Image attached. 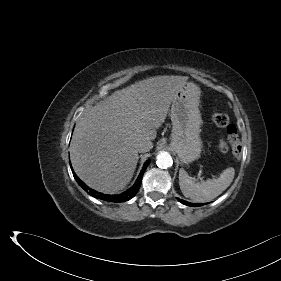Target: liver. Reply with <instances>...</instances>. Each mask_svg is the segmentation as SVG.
I'll return each mask as SVG.
<instances>
[{"instance_id": "liver-1", "label": "liver", "mask_w": 281, "mask_h": 281, "mask_svg": "<svg viewBox=\"0 0 281 281\" xmlns=\"http://www.w3.org/2000/svg\"><path fill=\"white\" fill-rule=\"evenodd\" d=\"M185 76H155L122 90L88 108L76 123L70 159L78 177L90 188L115 194L133 177L137 144L151 142L165 121ZM153 144L149 147L152 149ZM148 150V151H149Z\"/></svg>"}]
</instances>
